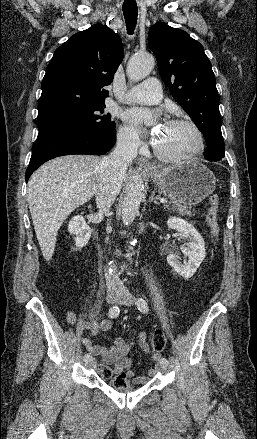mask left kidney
I'll list each match as a JSON object with an SVG mask.
<instances>
[{
	"label": "left kidney",
	"instance_id": "1",
	"mask_svg": "<svg viewBox=\"0 0 257 439\" xmlns=\"http://www.w3.org/2000/svg\"><path fill=\"white\" fill-rule=\"evenodd\" d=\"M167 226L170 229L177 230L180 236L186 238L189 242L187 255L188 260L184 263L180 262L176 255L167 256L168 264L182 277L188 279L192 277L197 268L200 266L206 256L205 242L200 233L186 220L178 217H170L167 220Z\"/></svg>",
	"mask_w": 257,
	"mask_h": 439
}]
</instances>
